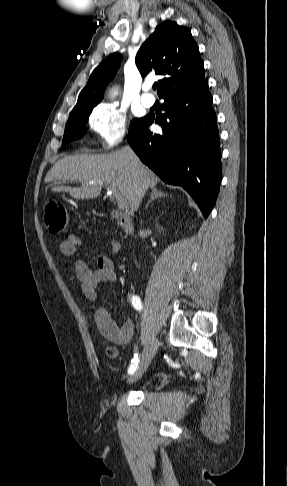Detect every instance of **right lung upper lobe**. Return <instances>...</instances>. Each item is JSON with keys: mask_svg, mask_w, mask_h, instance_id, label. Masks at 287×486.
I'll use <instances>...</instances> for the list:
<instances>
[{"mask_svg": "<svg viewBox=\"0 0 287 486\" xmlns=\"http://www.w3.org/2000/svg\"><path fill=\"white\" fill-rule=\"evenodd\" d=\"M120 58L119 54H111L94 69L71 114L94 107L103 99L104 88L116 74ZM136 65L142 76L150 72L164 76L158 81L159 97L204 79V65L191 32L173 21L156 27L139 49Z\"/></svg>", "mask_w": 287, "mask_h": 486, "instance_id": "cb5924a9", "label": "right lung upper lobe"}]
</instances>
